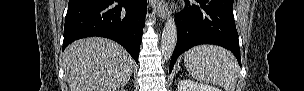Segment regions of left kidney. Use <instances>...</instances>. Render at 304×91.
<instances>
[{
	"mask_svg": "<svg viewBox=\"0 0 304 91\" xmlns=\"http://www.w3.org/2000/svg\"><path fill=\"white\" fill-rule=\"evenodd\" d=\"M178 91H221L219 88L199 84L188 79L181 80L178 83Z\"/></svg>",
	"mask_w": 304,
	"mask_h": 91,
	"instance_id": "obj_1",
	"label": "left kidney"
}]
</instances>
